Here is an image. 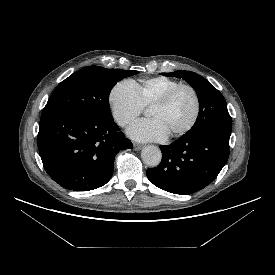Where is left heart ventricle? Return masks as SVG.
I'll return each mask as SVG.
<instances>
[{"mask_svg":"<svg viewBox=\"0 0 275 275\" xmlns=\"http://www.w3.org/2000/svg\"><path fill=\"white\" fill-rule=\"evenodd\" d=\"M195 111V100L188 89H181L164 108H151V118L157 119L167 133L173 134L184 128L192 119Z\"/></svg>","mask_w":275,"mask_h":275,"instance_id":"b2bd125f","label":"left heart ventricle"}]
</instances>
